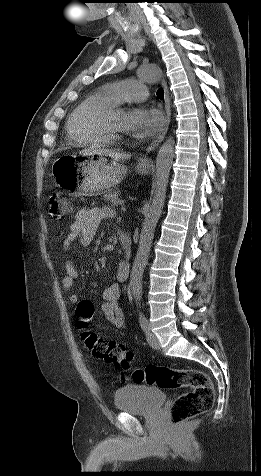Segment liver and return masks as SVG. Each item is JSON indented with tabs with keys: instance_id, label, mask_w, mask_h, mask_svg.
<instances>
[{
	"instance_id": "obj_1",
	"label": "liver",
	"mask_w": 261,
	"mask_h": 476,
	"mask_svg": "<svg viewBox=\"0 0 261 476\" xmlns=\"http://www.w3.org/2000/svg\"><path fill=\"white\" fill-rule=\"evenodd\" d=\"M80 153L89 154V155L96 154V155H99L100 157L105 156V157L111 158L114 161H119V160H124L129 158V156L124 153L101 148L99 146H90L89 148L82 150Z\"/></svg>"
}]
</instances>
